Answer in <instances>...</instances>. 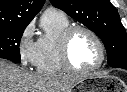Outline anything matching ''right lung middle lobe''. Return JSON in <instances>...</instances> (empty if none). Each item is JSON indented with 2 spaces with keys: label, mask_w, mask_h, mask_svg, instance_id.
<instances>
[{
  "label": "right lung middle lobe",
  "mask_w": 127,
  "mask_h": 92,
  "mask_svg": "<svg viewBox=\"0 0 127 92\" xmlns=\"http://www.w3.org/2000/svg\"><path fill=\"white\" fill-rule=\"evenodd\" d=\"M25 26L0 27V58L19 61V44Z\"/></svg>",
  "instance_id": "obj_1"
}]
</instances>
